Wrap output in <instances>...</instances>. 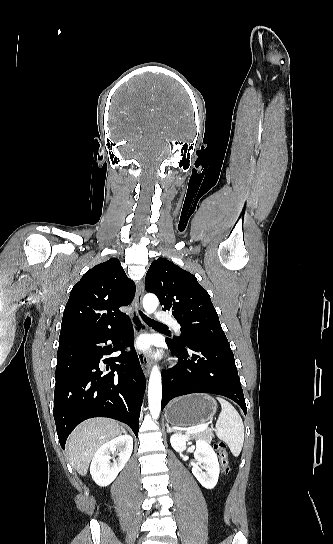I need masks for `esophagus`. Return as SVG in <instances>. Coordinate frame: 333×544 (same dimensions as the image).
Segmentation results:
<instances>
[{
    "label": "esophagus",
    "mask_w": 333,
    "mask_h": 544,
    "mask_svg": "<svg viewBox=\"0 0 333 544\" xmlns=\"http://www.w3.org/2000/svg\"><path fill=\"white\" fill-rule=\"evenodd\" d=\"M144 294V283L141 281L137 287L136 295H135V310L134 314L131 317L132 323L134 325V328L136 330V333H140L142 331H145L147 329L146 324L142 320L139 311H142V298ZM139 362L141 364V367L145 373L146 376L150 373V361L149 358L145 355H143L141 352L138 353Z\"/></svg>",
    "instance_id": "34e87169"
}]
</instances>
